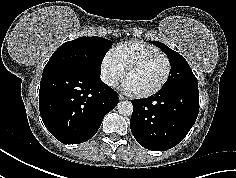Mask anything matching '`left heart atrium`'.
<instances>
[{
    "label": "left heart atrium",
    "mask_w": 236,
    "mask_h": 178,
    "mask_svg": "<svg viewBox=\"0 0 236 178\" xmlns=\"http://www.w3.org/2000/svg\"><path fill=\"white\" fill-rule=\"evenodd\" d=\"M123 87L125 90L131 91L130 88L125 83H124Z\"/></svg>",
    "instance_id": "obj_1"
}]
</instances>
